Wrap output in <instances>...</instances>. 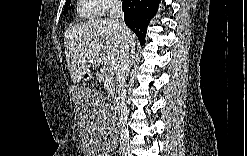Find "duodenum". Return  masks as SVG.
Wrapping results in <instances>:
<instances>
[{
    "label": "duodenum",
    "mask_w": 247,
    "mask_h": 156,
    "mask_svg": "<svg viewBox=\"0 0 247 156\" xmlns=\"http://www.w3.org/2000/svg\"><path fill=\"white\" fill-rule=\"evenodd\" d=\"M119 105H120V97H117L114 102V110L116 115H118Z\"/></svg>",
    "instance_id": "1"
}]
</instances>
